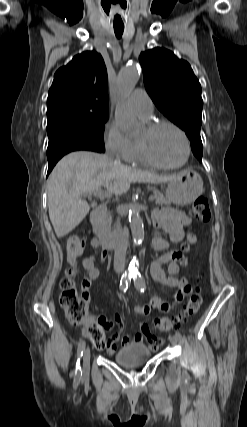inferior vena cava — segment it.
I'll return each mask as SVG.
<instances>
[{
    "label": "inferior vena cava",
    "instance_id": "1",
    "mask_svg": "<svg viewBox=\"0 0 247 427\" xmlns=\"http://www.w3.org/2000/svg\"><path fill=\"white\" fill-rule=\"evenodd\" d=\"M113 236L115 240L114 269L116 272H122L125 268V257L128 243L119 218L114 226Z\"/></svg>",
    "mask_w": 247,
    "mask_h": 427
}]
</instances>
